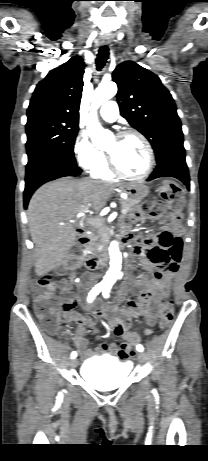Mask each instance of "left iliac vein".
Segmentation results:
<instances>
[{
  "instance_id": "1",
  "label": "left iliac vein",
  "mask_w": 208,
  "mask_h": 461,
  "mask_svg": "<svg viewBox=\"0 0 208 461\" xmlns=\"http://www.w3.org/2000/svg\"><path fill=\"white\" fill-rule=\"evenodd\" d=\"M137 359H138V361L141 362V363L145 362V361H146V355H145V353L139 352V353L137 354Z\"/></svg>"
}]
</instances>
